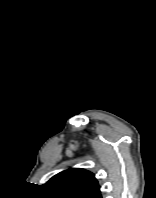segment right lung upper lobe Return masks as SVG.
<instances>
[{"instance_id": "right-lung-upper-lobe-1", "label": "right lung upper lobe", "mask_w": 156, "mask_h": 198, "mask_svg": "<svg viewBox=\"0 0 156 198\" xmlns=\"http://www.w3.org/2000/svg\"><path fill=\"white\" fill-rule=\"evenodd\" d=\"M42 188L49 198H102L94 175L79 168L58 173Z\"/></svg>"}]
</instances>
